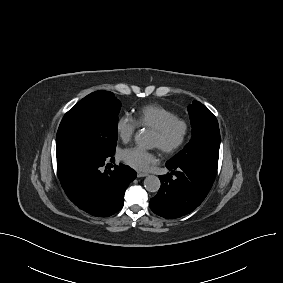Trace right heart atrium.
Segmentation results:
<instances>
[{
  "label": "right heart atrium",
  "instance_id": "1",
  "mask_svg": "<svg viewBox=\"0 0 283 283\" xmlns=\"http://www.w3.org/2000/svg\"><path fill=\"white\" fill-rule=\"evenodd\" d=\"M138 123L129 115H122L116 121V133L119 139L123 142H128L132 139Z\"/></svg>",
  "mask_w": 283,
  "mask_h": 283
}]
</instances>
